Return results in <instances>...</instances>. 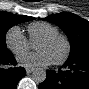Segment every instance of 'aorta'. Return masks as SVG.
<instances>
[{
    "label": "aorta",
    "instance_id": "1",
    "mask_svg": "<svg viewBox=\"0 0 89 89\" xmlns=\"http://www.w3.org/2000/svg\"><path fill=\"white\" fill-rule=\"evenodd\" d=\"M32 80L36 83H42L46 79V71L42 68H36L32 72Z\"/></svg>",
    "mask_w": 89,
    "mask_h": 89
}]
</instances>
